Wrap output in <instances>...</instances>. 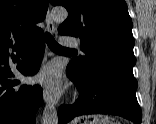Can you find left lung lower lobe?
I'll return each mask as SVG.
<instances>
[{"mask_svg":"<svg viewBox=\"0 0 156 124\" xmlns=\"http://www.w3.org/2000/svg\"><path fill=\"white\" fill-rule=\"evenodd\" d=\"M67 76L79 90L73 105H61L58 123L88 114H113L141 124L142 112L136 98L137 81L133 76L114 69H105L78 79L68 69Z\"/></svg>","mask_w":156,"mask_h":124,"instance_id":"0a47b994","label":"left lung lower lobe"}]
</instances>
